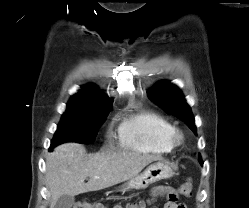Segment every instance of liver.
Wrapping results in <instances>:
<instances>
[{
  "label": "liver",
  "mask_w": 249,
  "mask_h": 208,
  "mask_svg": "<svg viewBox=\"0 0 249 208\" xmlns=\"http://www.w3.org/2000/svg\"><path fill=\"white\" fill-rule=\"evenodd\" d=\"M161 160L148 154L101 151L87 155L78 143L57 146L46 158V184L51 193L50 208L62 195L98 191L137 176L149 163ZM89 177L87 183L85 179Z\"/></svg>",
  "instance_id": "liver-1"
}]
</instances>
